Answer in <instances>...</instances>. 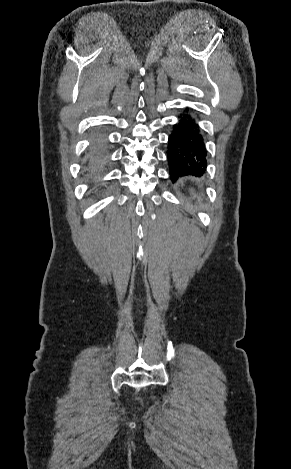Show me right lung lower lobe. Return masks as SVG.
<instances>
[{
    "label": "right lung lower lobe",
    "instance_id": "obj_1",
    "mask_svg": "<svg viewBox=\"0 0 291 469\" xmlns=\"http://www.w3.org/2000/svg\"><path fill=\"white\" fill-rule=\"evenodd\" d=\"M107 162V146L104 138L93 135L90 139L86 155V165L89 168H100Z\"/></svg>",
    "mask_w": 291,
    "mask_h": 469
}]
</instances>
